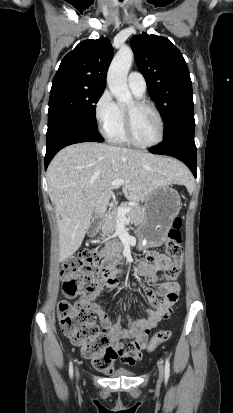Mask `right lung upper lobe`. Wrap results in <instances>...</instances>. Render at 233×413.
<instances>
[{"instance_id": "1", "label": "right lung upper lobe", "mask_w": 233, "mask_h": 413, "mask_svg": "<svg viewBox=\"0 0 233 413\" xmlns=\"http://www.w3.org/2000/svg\"><path fill=\"white\" fill-rule=\"evenodd\" d=\"M112 56V45L107 38L84 40L63 58L52 85L77 83L104 89Z\"/></svg>"}]
</instances>
